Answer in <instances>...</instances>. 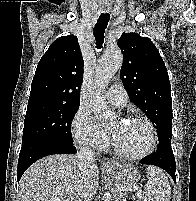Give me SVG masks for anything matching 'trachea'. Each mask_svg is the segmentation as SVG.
<instances>
[{"mask_svg": "<svg viewBox=\"0 0 196 201\" xmlns=\"http://www.w3.org/2000/svg\"><path fill=\"white\" fill-rule=\"evenodd\" d=\"M109 20H110L109 13H101L99 19L97 20V23L95 24L94 36L96 40V46L98 49H101L104 43V33L107 28Z\"/></svg>", "mask_w": 196, "mask_h": 201, "instance_id": "trachea-1", "label": "trachea"}]
</instances>
